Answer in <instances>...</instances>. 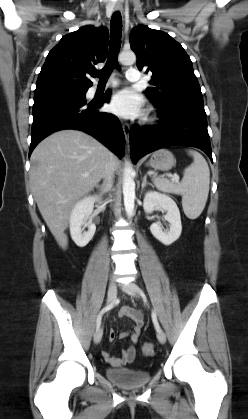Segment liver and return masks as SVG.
Here are the masks:
<instances>
[{"mask_svg": "<svg viewBox=\"0 0 248 419\" xmlns=\"http://www.w3.org/2000/svg\"><path fill=\"white\" fill-rule=\"evenodd\" d=\"M98 140L78 130L45 138L31 155L30 182L39 211L59 246L66 249L70 212L104 176L108 162L120 161Z\"/></svg>", "mask_w": 248, "mask_h": 419, "instance_id": "1", "label": "liver"}]
</instances>
